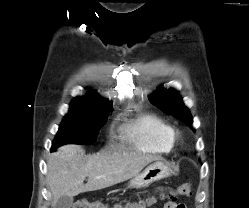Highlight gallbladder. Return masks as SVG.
<instances>
[{
  "mask_svg": "<svg viewBox=\"0 0 249 208\" xmlns=\"http://www.w3.org/2000/svg\"><path fill=\"white\" fill-rule=\"evenodd\" d=\"M73 204V198L69 196H62L56 202L54 208H71Z\"/></svg>",
  "mask_w": 249,
  "mask_h": 208,
  "instance_id": "gallbladder-1",
  "label": "gallbladder"
}]
</instances>
